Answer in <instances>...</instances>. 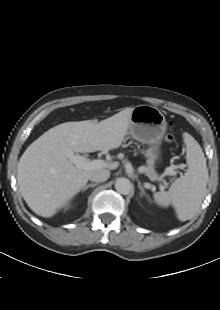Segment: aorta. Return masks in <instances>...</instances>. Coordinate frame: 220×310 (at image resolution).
<instances>
[{
	"label": "aorta",
	"instance_id": "obj_1",
	"mask_svg": "<svg viewBox=\"0 0 220 310\" xmlns=\"http://www.w3.org/2000/svg\"><path fill=\"white\" fill-rule=\"evenodd\" d=\"M115 189L120 194H128L132 189V184L127 178H118L115 183Z\"/></svg>",
	"mask_w": 220,
	"mask_h": 310
}]
</instances>
